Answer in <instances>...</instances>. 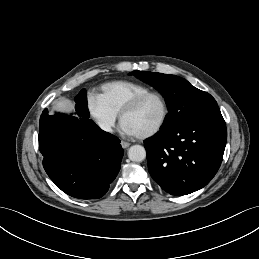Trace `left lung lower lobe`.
I'll return each mask as SVG.
<instances>
[{"label": "left lung lower lobe", "mask_w": 259, "mask_h": 259, "mask_svg": "<svg viewBox=\"0 0 259 259\" xmlns=\"http://www.w3.org/2000/svg\"><path fill=\"white\" fill-rule=\"evenodd\" d=\"M226 140L222 115L160 130L145 141L148 171L171 195L190 194L206 186L215 176Z\"/></svg>", "instance_id": "left-lung-lower-lobe-1"}]
</instances>
